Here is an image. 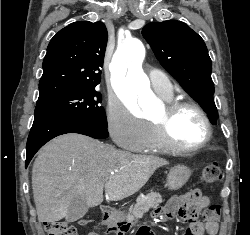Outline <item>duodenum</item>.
Returning <instances> with one entry per match:
<instances>
[{"mask_svg":"<svg viewBox=\"0 0 250 235\" xmlns=\"http://www.w3.org/2000/svg\"><path fill=\"white\" fill-rule=\"evenodd\" d=\"M103 216V223L105 224L108 232L115 233L116 235H125L128 231L125 228V223L116 219L114 211L106 205L101 206ZM141 235H153V231L148 229L141 233Z\"/></svg>","mask_w":250,"mask_h":235,"instance_id":"obj_1","label":"duodenum"}]
</instances>
